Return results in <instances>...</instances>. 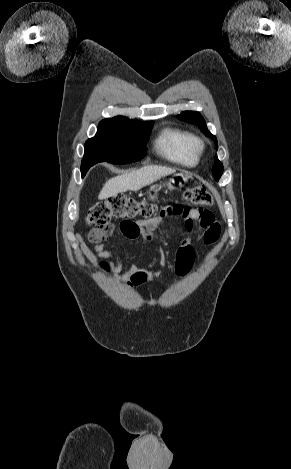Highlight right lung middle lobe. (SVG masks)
<instances>
[{
    "instance_id": "obj_1",
    "label": "right lung middle lobe",
    "mask_w": 291,
    "mask_h": 469,
    "mask_svg": "<svg viewBox=\"0 0 291 469\" xmlns=\"http://www.w3.org/2000/svg\"><path fill=\"white\" fill-rule=\"evenodd\" d=\"M153 125L152 121L102 120L96 135L85 143L82 177L98 162L126 164L141 160L145 156V144Z\"/></svg>"
}]
</instances>
